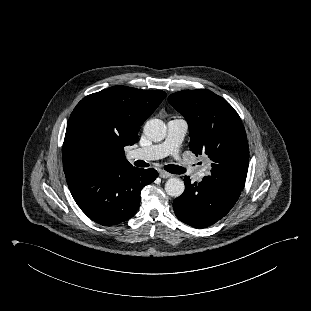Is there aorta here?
<instances>
[{"instance_id": "obj_1", "label": "aorta", "mask_w": 311, "mask_h": 311, "mask_svg": "<svg viewBox=\"0 0 311 311\" xmlns=\"http://www.w3.org/2000/svg\"><path fill=\"white\" fill-rule=\"evenodd\" d=\"M167 133L165 123L160 119H151L144 126V134L153 142L162 141ZM185 189L184 182L176 177L169 178L165 183V191L171 197H179Z\"/></svg>"}]
</instances>
